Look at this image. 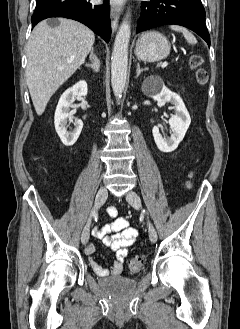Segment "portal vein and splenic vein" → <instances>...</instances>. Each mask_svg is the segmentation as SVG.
Listing matches in <instances>:
<instances>
[{"mask_svg": "<svg viewBox=\"0 0 240 329\" xmlns=\"http://www.w3.org/2000/svg\"><path fill=\"white\" fill-rule=\"evenodd\" d=\"M167 65H168L167 61H164V62L162 63V65H161V67H162V68H165V67H167Z\"/></svg>", "mask_w": 240, "mask_h": 329, "instance_id": "portal-vein-and-splenic-vein-1", "label": "portal vein and splenic vein"}]
</instances>
